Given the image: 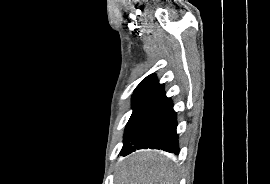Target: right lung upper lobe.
<instances>
[{
    "label": "right lung upper lobe",
    "instance_id": "right-lung-upper-lobe-1",
    "mask_svg": "<svg viewBox=\"0 0 270 184\" xmlns=\"http://www.w3.org/2000/svg\"><path fill=\"white\" fill-rule=\"evenodd\" d=\"M164 89L163 84H159L155 74H151L143 79L134 90L133 98H150Z\"/></svg>",
    "mask_w": 270,
    "mask_h": 184
}]
</instances>
